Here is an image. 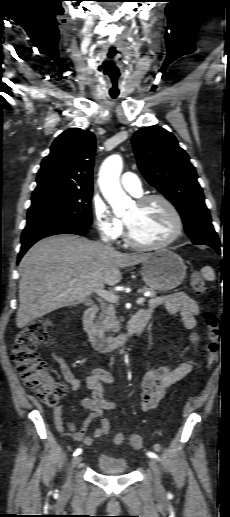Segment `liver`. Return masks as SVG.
<instances>
[{
	"instance_id": "1",
	"label": "liver",
	"mask_w": 230,
	"mask_h": 517,
	"mask_svg": "<svg viewBox=\"0 0 230 517\" xmlns=\"http://www.w3.org/2000/svg\"><path fill=\"white\" fill-rule=\"evenodd\" d=\"M145 253H121L113 247L74 235L52 236L33 245L20 262L16 325L59 308L83 303L105 285L122 279L119 268L144 262ZM76 279L74 284H70Z\"/></svg>"
}]
</instances>
